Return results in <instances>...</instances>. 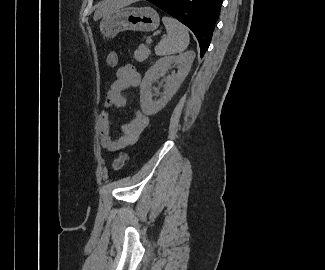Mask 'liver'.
Wrapping results in <instances>:
<instances>
[{
    "instance_id": "6515ba94",
    "label": "liver",
    "mask_w": 325,
    "mask_h": 270,
    "mask_svg": "<svg viewBox=\"0 0 325 270\" xmlns=\"http://www.w3.org/2000/svg\"><path fill=\"white\" fill-rule=\"evenodd\" d=\"M129 2V0H103L96 6V11L93 17L94 21L105 17L113 11L123 8L124 6L128 5Z\"/></svg>"
}]
</instances>
